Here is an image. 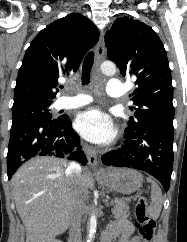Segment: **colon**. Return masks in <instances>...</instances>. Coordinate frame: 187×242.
Segmentation results:
<instances>
[{
    "label": "colon",
    "mask_w": 187,
    "mask_h": 242,
    "mask_svg": "<svg viewBox=\"0 0 187 242\" xmlns=\"http://www.w3.org/2000/svg\"><path fill=\"white\" fill-rule=\"evenodd\" d=\"M148 203L145 197H140L135 206V223L138 234L134 242H150L156 231V221L151 218L147 211Z\"/></svg>",
    "instance_id": "colon-1"
}]
</instances>
